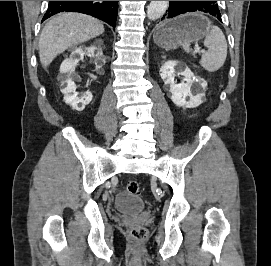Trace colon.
<instances>
[{"label": "colon", "instance_id": "1", "mask_svg": "<svg viewBox=\"0 0 271 266\" xmlns=\"http://www.w3.org/2000/svg\"><path fill=\"white\" fill-rule=\"evenodd\" d=\"M127 192L138 195L140 194V185L137 181H130L126 186ZM147 230L142 226H135L131 229L130 235L136 241H143L147 237Z\"/></svg>", "mask_w": 271, "mask_h": 266}]
</instances>
